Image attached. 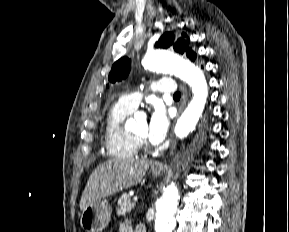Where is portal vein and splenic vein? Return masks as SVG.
Returning a JSON list of instances; mask_svg holds the SVG:
<instances>
[{"instance_id": "obj_1", "label": "portal vein and splenic vein", "mask_w": 289, "mask_h": 232, "mask_svg": "<svg viewBox=\"0 0 289 232\" xmlns=\"http://www.w3.org/2000/svg\"><path fill=\"white\" fill-rule=\"evenodd\" d=\"M133 200H134V202H137V201H138V197L135 196V197L133 198Z\"/></svg>"}]
</instances>
